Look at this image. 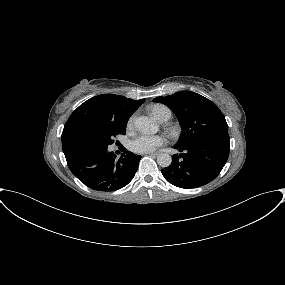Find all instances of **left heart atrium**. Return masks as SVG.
I'll return each mask as SVG.
<instances>
[{"mask_svg":"<svg viewBox=\"0 0 285 285\" xmlns=\"http://www.w3.org/2000/svg\"><path fill=\"white\" fill-rule=\"evenodd\" d=\"M165 141V138L160 135L140 134L131 141L130 148L137 153H150Z\"/></svg>","mask_w":285,"mask_h":285,"instance_id":"39dd6f15","label":"left heart atrium"}]
</instances>
